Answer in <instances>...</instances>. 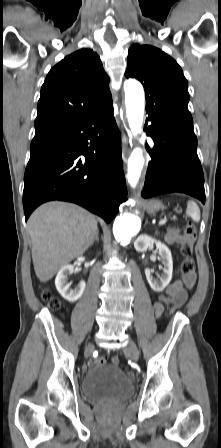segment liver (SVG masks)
<instances>
[{"label": "liver", "mask_w": 221, "mask_h": 448, "mask_svg": "<svg viewBox=\"0 0 221 448\" xmlns=\"http://www.w3.org/2000/svg\"><path fill=\"white\" fill-rule=\"evenodd\" d=\"M28 230L35 274L41 282H47L90 247L98 227L96 216L85 209L53 201L31 214Z\"/></svg>", "instance_id": "liver-1"}]
</instances>
